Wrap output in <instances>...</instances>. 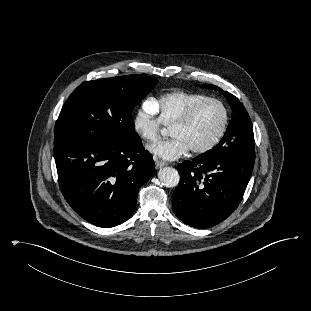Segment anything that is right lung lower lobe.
<instances>
[{
  "instance_id": "1",
  "label": "right lung lower lobe",
  "mask_w": 311,
  "mask_h": 311,
  "mask_svg": "<svg viewBox=\"0 0 311 311\" xmlns=\"http://www.w3.org/2000/svg\"><path fill=\"white\" fill-rule=\"evenodd\" d=\"M54 156L64 198L99 227H114L131 217L138 190L155 169L141 139L121 145L62 142L54 145Z\"/></svg>"
}]
</instances>
